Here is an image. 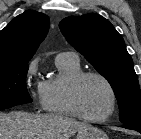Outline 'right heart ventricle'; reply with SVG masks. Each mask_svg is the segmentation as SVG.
<instances>
[{
	"label": "right heart ventricle",
	"instance_id": "obj_1",
	"mask_svg": "<svg viewBox=\"0 0 141 139\" xmlns=\"http://www.w3.org/2000/svg\"><path fill=\"white\" fill-rule=\"evenodd\" d=\"M58 76L42 82L44 109L52 114L76 116L70 108L67 90L70 81L83 72L79 60L56 61Z\"/></svg>",
	"mask_w": 141,
	"mask_h": 139
}]
</instances>
